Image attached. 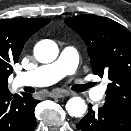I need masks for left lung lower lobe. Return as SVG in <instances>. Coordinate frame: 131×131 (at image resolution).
<instances>
[{
	"mask_svg": "<svg viewBox=\"0 0 131 131\" xmlns=\"http://www.w3.org/2000/svg\"><path fill=\"white\" fill-rule=\"evenodd\" d=\"M78 131H131V114L106 103L97 111H89L76 125Z\"/></svg>",
	"mask_w": 131,
	"mask_h": 131,
	"instance_id": "left-lung-lower-lobe-1",
	"label": "left lung lower lobe"
}]
</instances>
